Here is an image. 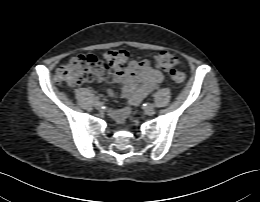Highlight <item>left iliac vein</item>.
Returning a JSON list of instances; mask_svg holds the SVG:
<instances>
[{
	"instance_id": "left-iliac-vein-1",
	"label": "left iliac vein",
	"mask_w": 260,
	"mask_h": 202,
	"mask_svg": "<svg viewBox=\"0 0 260 202\" xmlns=\"http://www.w3.org/2000/svg\"><path fill=\"white\" fill-rule=\"evenodd\" d=\"M144 111L147 115L151 116L155 113V108H154V105H147L145 108H144Z\"/></svg>"
}]
</instances>
